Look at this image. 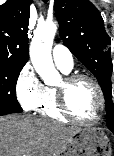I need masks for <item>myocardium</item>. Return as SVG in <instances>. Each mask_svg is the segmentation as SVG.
<instances>
[{"mask_svg":"<svg viewBox=\"0 0 114 156\" xmlns=\"http://www.w3.org/2000/svg\"><path fill=\"white\" fill-rule=\"evenodd\" d=\"M80 80L89 81L95 88L98 99H99V110L96 117L92 120L85 121L77 118L72 111L70 110L68 104V95L72 86ZM57 96H58V107L62 115L67 118L69 121L74 122L83 126H91L100 121L102 118L104 109H105V98L103 94V90L99 84V82L91 75L86 73H74L67 75L62 83L57 88Z\"/></svg>","mask_w":114,"mask_h":156,"instance_id":"1","label":"myocardium"}]
</instances>
